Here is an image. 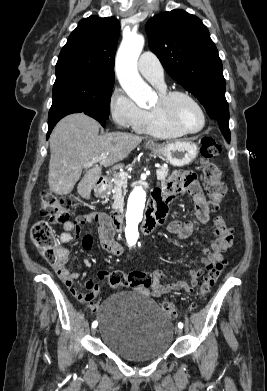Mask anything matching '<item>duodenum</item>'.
Instances as JSON below:
<instances>
[{"label": "duodenum", "mask_w": 267, "mask_h": 391, "mask_svg": "<svg viewBox=\"0 0 267 391\" xmlns=\"http://www.w3.org/2000/svg\"><path fill=\"white\" fill-rule=\"evenodd\" d=\"M107 178L100 177L94 184V191L101 194L107 186ZM161 223V218L157 209L150 210L142 222V231L145 234L152 233L158 224ZM110 227L114 232H121L123 229V213L120 209H116L110 216Z\"/></svg>", "instance_id": "duodenum-1"}]
</instances>
